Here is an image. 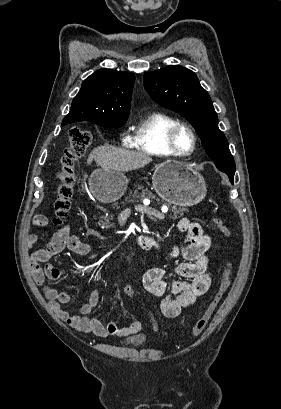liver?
<instances>
[{"label":"liver","instance_id":"1","mask_svg":"<svg viewBox=\"0 0 281 409\" xmlns=\"http://www.w3.org/2000/svg\"><path fill=\"white\" fill-rule=\"evenodd\" d=\"M95 160L101 168H114L120 172L136 170L145 164H149L152 158L142 150H127V148H115V146H98L90 152L87 164Z\"/></svg>","mask_w":281,"mask_h":409}]
</instances>
